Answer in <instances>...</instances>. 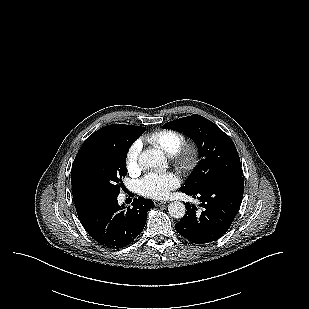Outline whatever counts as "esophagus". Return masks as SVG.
Wrapping results in <instances>:
<instances>
[{
	"label": "esophagus",
	"mask_w": 309,
	"mask_h": 309,
	"mask_svg": "<svg viewBox=\"0 0 309 309\" xmlns=\"http://www.w3.org/2000/svg\"><path fill=\"white\" fill-rule=\"evenodd\" d=\"M167 203H168V201H160V200L154 201L155 206H160V205H164V204H167Z\"/></svg>",
	"instance_id": "1"
}]
</instances>
